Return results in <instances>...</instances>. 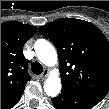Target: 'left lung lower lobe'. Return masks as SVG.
Masks as SVG:
<instances>
[{
	"label": "left lung lower lobe",
	"instance_id": "1",
	"mask_svg": "<svg viewBox=\"0 0 109 109\" xmlns=\"http://www.w3.org/2000/svg\"><path fill=\"white\" fill-rule=\"evenodd\" d=\"M99 102L67 88H62L61 94L52 98V103L57 109H91Z\"/></svg>",
	"mask_w": 109,
	"mask_h": 109
}]
</instances>
